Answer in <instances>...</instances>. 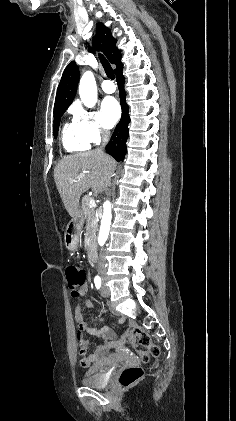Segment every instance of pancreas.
Returning <instances> with one entry per match:
<instances>
[{
	"instance_id": "pancreas-1",
	"label": "pancreas",
	"mask_w": 236,
	"mask_h": 421,
	"mask_svg": "<svg viewBox=\"0 0 236 421\" xmlns=\"http://www.w3.org/2000/svg\"><path fill=\"white\" fill-rule=\"evenodd\" d=\"M89 200L90 198H88V196H84V198H82V211L87 221V227H90V229H92V233H97L98 231V217H96L97 211H95V208H90Z\"/></svg>"
}]
</instances>
